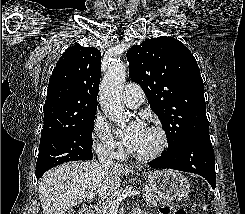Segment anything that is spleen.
Returning a JSON list of instances; mask_svg holds the SVG:
<instances>
[{
  "label": "spleen",
  "instance_id": "spleen-1",
  "mask_svg": "<svg viewBox=\"0 0 245 214\" xmlns=\"http://www.w3.org/2000/svg\"><path fill=\"white\" fill-rule=\"evenodd\" d=\"M202 209H203V210H206V209H207V206H206V205H203V206H202Z\"/></svg>",
  "mask_w": 245,
  "mask_h": 214
}]
</instances>
